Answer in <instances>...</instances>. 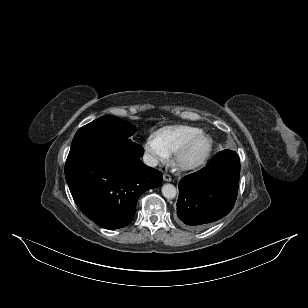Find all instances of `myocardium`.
I'll list each match as a JSON object with an SVG mask.
<instances>
[{
    "mask_svg": "<svg viewBox=\"0 0 308 308\" xmlns=\"http://www.w3.org/2000/svg\"><path fill=\"white\" fill-rule=\"evenodd\" d=\"M204 141L205 146L200 154L192 157L190 155L194 146L200 142ZM213 147V140L210 135L201 131L191 138H189L175 153L174 161L176 165L182 170H190L197 168L205 163L209 157Z\"/></svg>",
    "mask_w": 308,
    "mask_h": 308,
    "instance_id": "myocardium-1",
    "label": "myocardium"
}]
</instances>
